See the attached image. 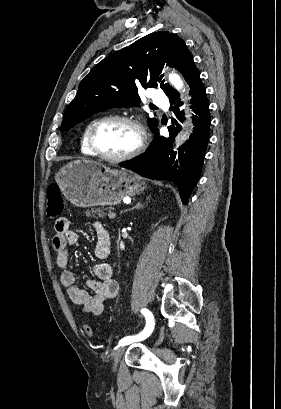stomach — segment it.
Segmentation results:
<instances>
[{"label": "stomach", "instance_id": "obj_1", "mask_svg": "<svg viewBox=\"0 0 281 409\" xmlns=\"http://www.w3.org/2000/svg\"><path fill=\"white\" fill-rule=\"evenodd\" d=\"M55 180L75 207L118 205L123 196H134L145 188L130 170L109 168L97 160H72L56 172Z\"/></svg>", "mask_w": 281, "mask_h": 409}]
</instances>
